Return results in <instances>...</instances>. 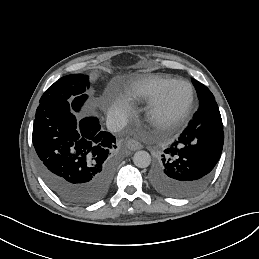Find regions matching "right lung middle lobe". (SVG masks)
<instances>
[{
  "mask_svg": "<svg viewBox=\"0 0 259 259\" xmlns=\"http://www.w3.org/2000/svg\"><path fill=\"white\" fill-rule=\"evenodd\" d=\"M89 88V76L84 74L67 75L52 84L42 95L39 103L70 101L79 111L87 94L84 92Z\"/></svg>",
  "mask_w": 259,
  "mask_h": 259,
  "instance_id": "1",
  "label": "right lung middle lobe"
}]
</instances>
